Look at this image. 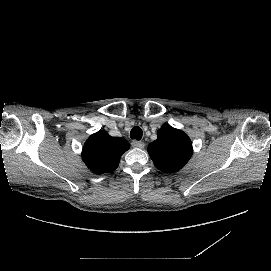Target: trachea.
Listing matches in <instances>:
<instances>
[{
    "mask_svg": "<svg viewBox=\"0 0 271 271\" xmlns=\"http://www.w3.org/2000/svg\"><path fill=\"white\" fill-rule=\"evenodd\" d=\"M143 135V131L141 130V128H139L138 126H135L134 128H132V130L130 131V137L132 139H137L140 140L142 138Z\"/></svg>",
    "mask_w": 271,
    "mask_h": 271,
    "instance_id": "trachea-1",
    "label": "trachea"
}]
</instances>
